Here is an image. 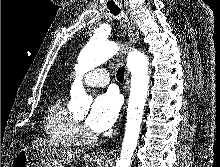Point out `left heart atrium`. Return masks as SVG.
Here are the masks:
<instances>
[{"mask_svg":"<svg viewBox=\"0 0 220 167\" xmlns=\"http://www.w3.org/2000/svg\"><path fill=\"white\" fill-rule=\"evenodd\" d=\"M120 97L114 91L100 94L94 100L86 123L95 132H103L113 126L119 115Z\"/></svg>","mask_w":220,"mask_h":167,"instance_id":"39dd6f15","label":"left heart atrium"}]
</instances>
